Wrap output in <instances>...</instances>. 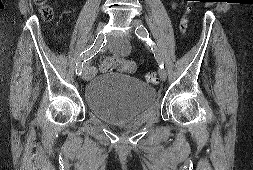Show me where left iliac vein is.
<instances>
[{"label":"left iliac vein","mask_w":253,"mask_h":170,"mask_svg":"<svg viewBox=\"0 0 253 170\" xmlns=\"http://www.w3.org/2000/svg\"><path fill=\"white\" fill-rule=\"evenodd\" d=\"M133 25L134 26H140V25H143L142 21L139 20V19H134L132 21ZM159 77L162 81H165L166 78H167V73H166V70L164 68H160L159 69Z\"/></svg>","instance_id":"left-iliac-vein-1"}]
</instances>
